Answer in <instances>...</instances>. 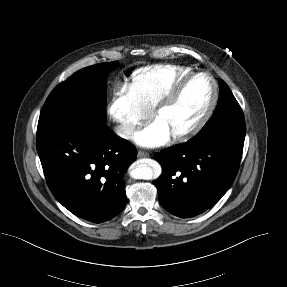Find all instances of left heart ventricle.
I'll list each match as a JSON object with an SVG mask.
<instances>
[{"label": "left heart ventricle", "mask_w": 287, "mask_h": 287, "mask_svg": "<svg viewBox=\"0 0 287 287\" xmlns=\"http://www.w3.org/2000/svg\"><path fill=\"white\" fill-rule=\"evenodd\" d=\"M211 83L206 77L191 80L176 101L162 111L156 120L167 127L170 134L194 123L203 113L211 98Z\"/></svg>", "instance_id": "left-heart-ventricle-1"}]
</instances>
